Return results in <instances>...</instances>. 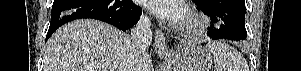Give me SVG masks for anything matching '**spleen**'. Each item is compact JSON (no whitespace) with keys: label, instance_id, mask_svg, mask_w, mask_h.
<instances>
[{"label":"spleen","instance_id":"spleen-1","mask_svg":"<svg viewBox=\"0 0 301 71\" xmlns=\"http://www.w3.org/2000/svg\"><path fill=\"white\" fill-rule=\"evenodd\" d=\"M214 59V71H249L247 61L234 47L223 42L206 45Z\"/></svg>","mask_w":301,"mask_h":71}]
</instances>
